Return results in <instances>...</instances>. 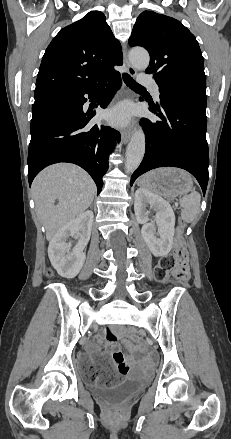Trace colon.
Segmentation results:
<instances>
[{
	"instance_id": "obj_1",
	"label": "colon",
	"mask_w": 231,
	"mask_h": 439,
	"mask_svg": "<svg viewBox=\"0 0 231 439\" xmlns=\"http://www.w3.org/2000/svg\"><path fill=\"white\" fill-rule=\"evenodd\" d=\"M184 227L185 223L180 220L179 226L176 231L175 249L172 254L164 256L156 269V276L160 280H166L170 274L178 278L179 280L186 281L189 277L187 269V252L184 245ZM128 334H133L134 331L131 328L125 329ZM129 367L125 364L119 365L116 369H112L107 376L101 378L99 382L104 385H110L115 383L119 376H124L128 373Z\"/></svg>"
}]
</instances>
